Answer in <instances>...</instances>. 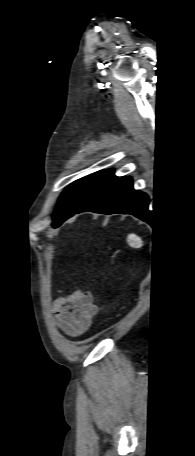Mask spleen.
I'll return each mask as SVG.
<instances>
[{"mask_svg": "<svg viewBox=\"0 0 195 456\" xmlns=\"http://www.w3.org/2000/svg\"><path fill=\"white\" fill-rule=\"evenodd\" d=\"M127 241L133 247H138L142 245L141 239L135 234H129L127 237Z\"/></svg>", "mask_w": 195, "mask_h": 456, "instance_id": "1", "label": "spleen"}]
</instances>
